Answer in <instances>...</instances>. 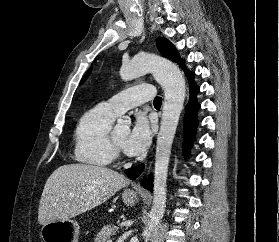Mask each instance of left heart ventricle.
Wrapping results in <instances>:
<instances>
[{"instance_id":"b2bd125f","label":"left heart ventricle","mask_w":279,"mask_h":242,"mask_svg":"<svg viewBox=\"0 0 279 242\" xmlns=\"http://www.w3.org/2000/svg\"><path fill=\"white\" fill-rule=\"evenodd\" d=\"M129 135V127H120L114 131V137L117 143L124 148Z\"/></svg>"}]
</instances>
